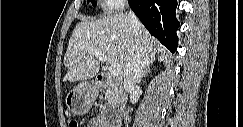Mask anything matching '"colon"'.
Instances as JSON below:
<instances>
[{"label":"colon","mask_w":243,"mask_h":127,"mask_svg":"<svg viewBox=\"0 0 243 127\" xmlns=\"http://www.w3.org/2000/svg\"><path fill=\"white\" fill-rule=\"evenodd\" d=\"M70 124H71L72 127L78 126V123L76 121H72Z\"/></svg>","instance_id":"colon-1"}]
</instances>
